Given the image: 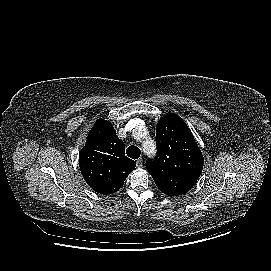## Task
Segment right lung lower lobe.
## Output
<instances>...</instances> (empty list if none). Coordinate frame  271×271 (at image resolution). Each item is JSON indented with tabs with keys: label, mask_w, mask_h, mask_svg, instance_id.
<instances>
[{
	"label": "right lung lower lobe",
	"mask_w": 271,
	"mask_h": 271,
	"mask_svg": "<svg viewBox=\"0 0 271 271\" xmlns=\"http://www.w3.org/2000/svg\"><path fill=\"white\" fill-rule=\"evenodd\" d=\"M97 193H100V194H102V191H99V190H95Z\"/></svg>",
	"instance_id": "98d812e1"
}]
</instances>
